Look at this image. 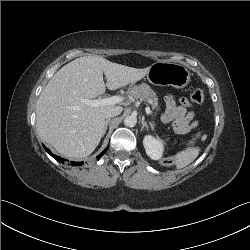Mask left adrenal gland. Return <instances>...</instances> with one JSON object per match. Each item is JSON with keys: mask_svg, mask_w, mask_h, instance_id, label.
<instances>
[{"mask_svg": "<svg viewBox=\"0 0 250 250\" xmlns=\"http://www.w3.org/2000/svg\"><path fill=\"white\" fill-rule=\"evenodd\" d=\"M144 127H145L146 129H148V124H147V122H146L144 119H142V128H141V130H142Z\"/></svg>", "mask_w": 250, "mask_h": 250, "instance_id": "1", "label": "left adrenal gland"}]
</instances>
